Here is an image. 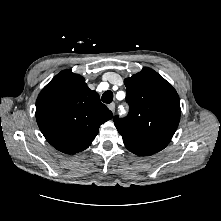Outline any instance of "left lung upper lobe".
Segmentation results:
<instances>
[{"instance_id": "5c2ea615", "label": "left lung upper lobe", "mask_w": 221, "mask_h": 221, "mask_svg": "<svg viewBox=\"0 0 221 221\" xmlns=\"http://www.w3.org/2000/svg\"><path fill=\"white\" fill-rule=\"evenodd\" d=\"M127 117H114V124L132 153L151 155L171 141L180 120V100L175 89L157 72L145 67L125 79Z\"/></svg>"}]
</instances>
